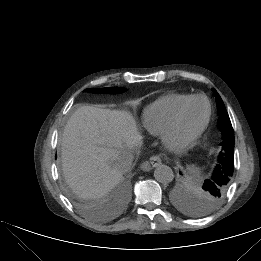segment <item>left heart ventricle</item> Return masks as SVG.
Here are the masks:
<instances>
[{
    "mask_svg": "<svg viewBox=\"0 0 261 261\" xmlns=\"http://www.w3.org/2000/svg\"><path fill=\"white\" fill-rule=\"evenodd\" d=\"M207 111L206 102L203 99H195L182 113L175 135L178 138L190 136L202 124Z\"/></svg>",
    "mask_w": 261,
    "mask_h": 261,
    "instance_id": "1",
    "label": "left heart ventricle"
}]
</instances>
